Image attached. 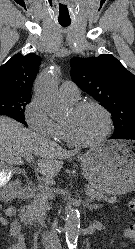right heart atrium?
<instances>
[{"label": "right heart atrium", "instance_id": "obj_1", "mask_svg": "<svg viewBox=\"0 0 135 249\" xmlns=\"http://www.w3.org/2000/svg\"><path fill=\"white\" fill-rule=\"evenodd\" d=\"M24 117L34 132L49 138L56 137V123L48 116L44 105L37 96H34L27 104Z\"/></svg>", "mask_w": 135, "mask_h": 249}]
</instances>
